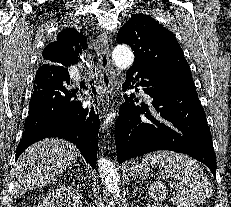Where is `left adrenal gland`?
I'll return each instance as SVG.
<instances>
[{
  "label": "left adrenal gland",
  "mask_w": 231,
  "mask_h": 207,
  "mask_svg": "<svg viewBox=\"0 0 231 207\" xmlns=\"http://www.w3.org/2000/svg\"><path fill=\"white\" fill-rule=\"evenodd\" d=\"M137 191H138V187L136 186V187L134 188L133 195H135Z\"/></svg>",
  "instance_id": "1"
}]
</instances>
